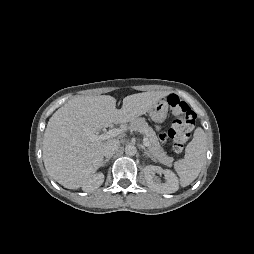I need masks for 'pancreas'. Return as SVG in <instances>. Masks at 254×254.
<instances>
[{"label":"pancreas","instance_id":"cf45deb5","mask_svg":"<svg viewBox=\"0 0 254 254\" xmlns=\"http://www.w3.org/2000/svg\"><path fill=\"white\" fill-rule=\"evenodd\" d=\"M128 128L133 131H138L146 135L149 145L147 146L148 152L155 161L170 166L173 158L169 157L161 147L159 140L154 130L142 118H135L129 122Z\"/></svg>","mask_w":254,"mask_h":254}]
</instances>
